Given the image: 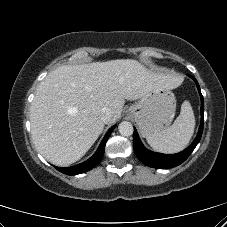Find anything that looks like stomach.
Listing matches in <instances>:
<instances>
[{"mask_svg": "<svg viewBox=\"0 0 227 227\" xmlns=\"http://www.w3.org/2000/svg\"><path fill=\"white\" fill-rule=\"evenodd\" d=\"M175 109L174 94L170 90L158 88L141 97L127 112L137 123L142 136L147 137L165 130L174 118Z\"/></svg>", "mask_w": 227, "mask_h": 227, "instance_id": "0dacf381", "label": "stomach"}]
</instances>
